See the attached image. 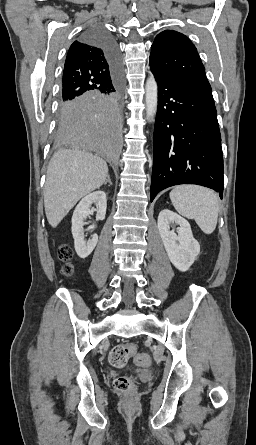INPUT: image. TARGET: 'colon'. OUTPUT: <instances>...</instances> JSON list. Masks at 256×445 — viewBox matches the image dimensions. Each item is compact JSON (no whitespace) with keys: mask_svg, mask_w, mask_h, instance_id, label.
I'll return each mask as SVG.
<instances>
[{"mask_svg":"<svg viewBox=\"0 0 256 445\" xmlns=\"http://www.w3.org/2000/svg\"><path fill=\"white\" fill-rule=\"evenodd\" d=\"M59 255L63 260H69L72 256L71 249L67 246L59 248ZM65 272L69 274L71 268L66 266ZM136 353V346L132 343L118 344L113 347L108 356L109 363L114 367H124L129 359ZM145 360L143 357H137V362L141 363ZM114 387L117 391L125 394H132L137 387V381L132 376H120L114 381Z\"/></svg>","mask_w":256,"mask_h":445,"instance_id":"obj_1","label":"colon"}]
</instances>
